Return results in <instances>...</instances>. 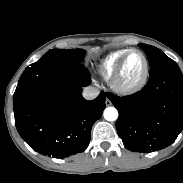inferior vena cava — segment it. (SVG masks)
I'll use <instances>...</instances> for the list:
<instances>
[{"mask_svg": "<svg viewBox=\"0 0 183 183\" xmlns=\"http://www.w3.org/2000/svg\"><path fill=\"white\" fill-rule=\"evenodd\" d=\"M82 95L86 100H92L99 95V90L95 87L89 86L83 90Z\"/></svg>", "mask_w": 183, "mask_h": 183, "instance_id": "602c4592", "label": "inferior vena cava"}]
</instances>
